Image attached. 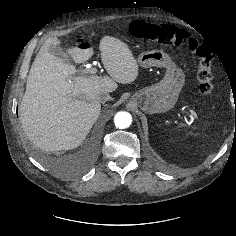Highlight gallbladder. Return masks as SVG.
Masks as SVG:
<instances>
[{"label": "gallbladder", "mask_w": 236, "mask_h": 236, "mask_svg": "<svg viewBox=\"0 0 236 236\" xmlns=\"http://www.w3.org/2000/svg\"><path fill=\"white\" fill-rule=\"evenodd\" d=\"M51 52L58 58H61L65 63L71 64L73 61L70 57H68L62 48L60 47H51Z\"/></svg>", "instance_id": "1"}]
</instances>
